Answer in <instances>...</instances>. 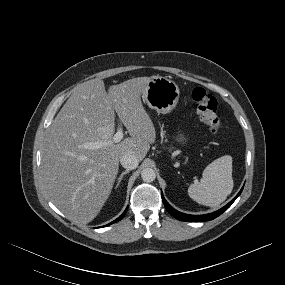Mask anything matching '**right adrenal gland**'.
Returning <instances> with one entry per match:
<instances>
[{
	"label": "right adrenal gland",
	"instance_id": "1",
	"mask_svg": "<svg viewBox=\"0 0 285 285\" xmlns=\"http://www.w3.org/2000/svg\"><path fill=\"white\" fill-rule=\"evenodd\" d=\"M127 173H129V170L123 171V172L120 174V176H119V178H118V180H117V184H116L115 188H117V187L119 186L120 182H121L122 179H123V176H124L125 174H127Z\"/></svg>",
	"mask_w": 285,
	"mask_h": 285
}]
</instances>
